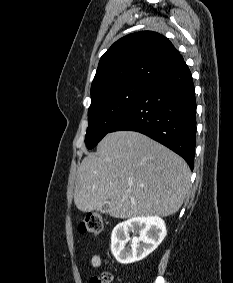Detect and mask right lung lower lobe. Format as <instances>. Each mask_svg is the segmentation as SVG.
Here are the masks:
<instances>
[{
  "label": "right lung lower lobe",
  "instance_id": "98d812e1",
  "mask_svg": "<svg viewBox=\"0 0 233 283\" xmlns=\"http://www.w3.org/2000/svg\"><path fill=\"white\" fill-rule=\"evenodd\" d=\"M196 101L184 61L153 79L127 113L111 128L137 131L167 146L194 167Z\"/></svg>",
  "mask_w": 233,
  "mask_h": 283
}]
</instances>
